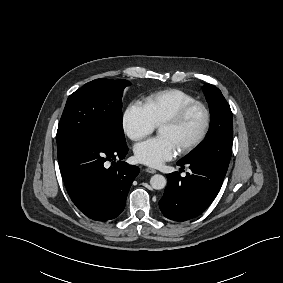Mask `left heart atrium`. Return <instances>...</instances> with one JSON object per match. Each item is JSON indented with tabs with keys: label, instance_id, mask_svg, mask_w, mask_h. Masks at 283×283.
<instances>
[{
	"label": "left heart atrium",
	"instance_id": "1",
	"mask_svg": "<svg viewBox=\"0 0 283 283\" xmlns=\"http://www.w3.org/2000/svg\"><path fill=\"white\" fill-rule=\"evenodd\" d=\"M134 153L139 162L151 167H159L175 157L177 148L170 139L158 136L138 143Z\"/></svg>",
	"mask_w": 283,
	"mask_h": 283
}]
</instances>
